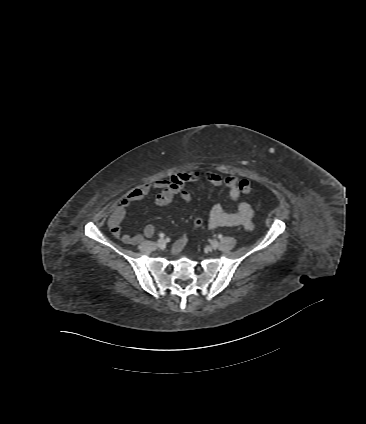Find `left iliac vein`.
I'll list each match as a JSON object with an SVG mask.
<instances>
[{
  "label": "left iliac vein",
  "mask_w": 366,
  "mask_h": 424,
  "mask_svg": "<svg viewBox=\"0 0 366 424\" xmlns=\"http://www.w3.org/2000/svg\"><path fill=\"white\" fill-rule=\"evenodd\" d=\"M219 247V242L217 240H213L211 242V248L212 249H217Z\"/></svg>",
  "instance_id": "left-iliac-vein-1"
}]
</instances>
